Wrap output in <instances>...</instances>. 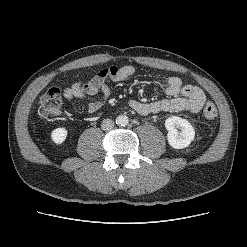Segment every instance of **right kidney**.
Returning a JSON list of instances; mask_svg holds the SVG:
<instances>
[{"label":"right kidney","mask_w":247,"mask_h":247,"mask_svg":"<svg viewBox=\"0 0 247 247\" xmlns=\"http://www.w3.org/2000/svg\"><path fill=\"white\" fill-rule=\"evenodd\" d=\"M67 134L68 131L65 128H57L52 131L51 139L55 144L60 145L66 140Z\"/></svg>","instance_id":"obj_1"}]
</instances>
